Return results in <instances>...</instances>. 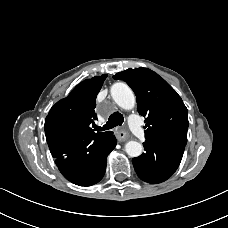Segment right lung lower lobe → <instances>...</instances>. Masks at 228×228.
Segmentation results:
<instances>
[{"instance_id": "obj_1", "label": "right lung lower lobe", "mask_w": 228, "mask_h": 228, "mask_svg": "<svg viewBox=\"0 0 228 228\" xmlns=\"http://www.w3.org/2000/svg\"><path fill=\"white\" fill-rule=\"evenodd\" d=\"M116 143L113 132H110L72 137L49 148L66 179L79 186H91L103 178L107 156Z\"/></svg>"}]
</instances>
